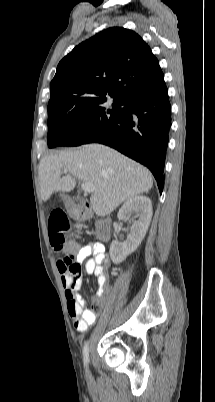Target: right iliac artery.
I'll return each instance as SVG.
<instances>
[{
  "label": "right iliac artery",
  "instance_id": "obj_1",
  "mask_svg": "<svg viewBox=\"0 0 215 402\" xmlns=\"http://www.w3.org/2000/svg\"><path fill=\"white\" fill-rule=\"evenodd\" d=\"M83 360H84V365L87 367L88 362H89V343L86 342L83 348Z\"/></svg>",
  "mask_w": 215,
  "mask_h": 402
}]
</instances>
